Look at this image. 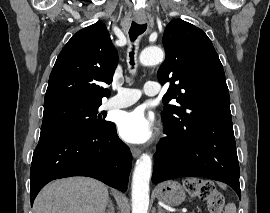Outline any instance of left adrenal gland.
Returning a JSON list of instances; mask_svg holds the SVG:
<instances>
[{
    "label": "left adrenal gland",
    "mask_w": 270,
    "mask_h": 213,
    "mask_svg": "<svg viewBox=\"0 0 270 213\" xmlns=\"http://www.w3.org/2000/svg\"><path fill=\"white\" fill-rule=\"evenodd\" d=\"M157 207H158V212L157 213H165L160 206H157Z\"/></svg>",
    "instance_id": "a2214340"
}]
</instances>
